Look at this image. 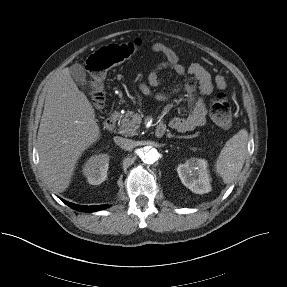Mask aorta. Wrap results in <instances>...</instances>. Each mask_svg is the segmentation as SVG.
Masks as SVG:
<instances>
[{"label":"aorta","mask_w":287,"mask_h":287,"mask_svg":"<svg viewBox=\"0 0 287 287\" xmlns=\"http://www.w3.org/2000/svg\"><path fill=\"white\" fill-rule=\"evenodd\" d=\"M140 158L146 164H153L159 159V153L157 149L145 146L140 151Z\"/></svg>","instance_id":"aorta-1"}]
</instances>
